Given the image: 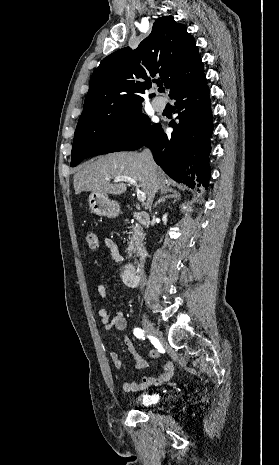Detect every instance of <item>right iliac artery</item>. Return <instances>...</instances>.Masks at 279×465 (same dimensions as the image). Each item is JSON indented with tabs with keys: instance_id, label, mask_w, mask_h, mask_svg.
Instances as JSON below:
<instances>
[{
	"instance_id": "obj_1",
	"label": "right iliac artery",
	"mask_w": 279,
	"mask_h": 465,
	"mask_svg": "<svg viewBox=\"0 0 279 465\" xmlns=\"http://www.w3.org/2000/svg\"><path fill=\"white\" fill-rule=\"evenodd\" d=\"M134 335L139 338V339H145V333L142 329L140 328H135L134 329Z\"/></svg>"
}]
</instances>
